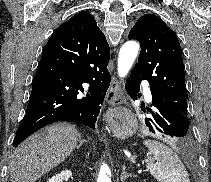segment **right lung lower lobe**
Listing matches in <instances>:
<instances>
[{
  "instance_id": "obj_1",
  "label": "right lung lower lobe",
  "mask_w": 211,
  "mask_h": 182,
  "mask_svg": "<svg viewBox=\"0 0 211 182\" xmlns=\"http://www.w3.org/2000/svg\"><path fill=\"white\" fill-rule=\"evenodd\" d=\"M66 28L50 37L39 62L23 122L13 141L16 147L40 128L71 121L95 129L111 77L110 52L96 45L76 44ZM83 83L89 84L84 97Z\"/></svg>"
}]
</instances>
